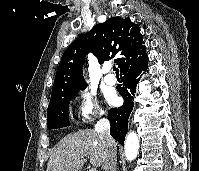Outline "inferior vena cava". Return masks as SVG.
I'll return each mask as SVG.
<instances>
[{
	"label": "inferior vena cava",
	"mask_w": 199,
	"mask_h": 171,
	"mask_svg": "<svg viewBox=\"0 0 199 171\" xmlns=\"http://www.w3.org/2000/svg\"><path fill=\"white\" fill-rule=\"evenodd\" d=\"M95 131L100 135L101 139L107 146V157L103 165L104 171H116V144L110 135V122L106 118L100 119L96 126Z\"/></svg>",
	"instance_id": "602c4592"
}]
</instances>
